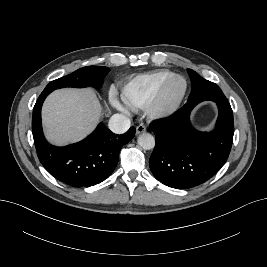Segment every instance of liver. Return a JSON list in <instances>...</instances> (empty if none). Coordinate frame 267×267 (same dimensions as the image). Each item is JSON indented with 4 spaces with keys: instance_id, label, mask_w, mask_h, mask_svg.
<instances>
[{
    "instance_id": "6515ba94",
    "label": "liver",
    "mask_w": 267,
    "mask_h": 267,
    "mask_svg": "<svg viewBox=\"0 0 267 267\" xmlns=\"http://www.w3.org/2000/svg\"><path fill=\"white\" fill-rule=\"evenodd\" d=\"M102 107L92 89H59L52 92L42 108L47 139L56 145L82 140L99 122Z\"/></svg>"
}]
</instances>
